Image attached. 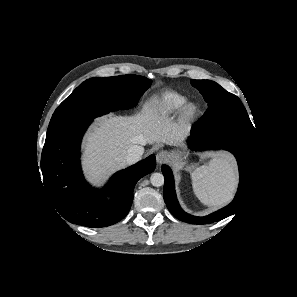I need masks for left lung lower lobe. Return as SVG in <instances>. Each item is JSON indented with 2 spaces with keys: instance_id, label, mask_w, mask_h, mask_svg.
<instances>
[{
  "instance_id": "0a47b994",
  "label": "left lung lower lobe",
  "mask_w": 297,
  "mask_h": 297,
  "mask_svg": "<svg viewBox=\"0 0 297 297\" xmlns=\"http://www.w3.org/2000/svg\"><path fill=\"white\" fill-rule=\"evenodd\" d=\"M188 146L192 150L225 149L237 159L240 182L234 200L226 207L205 217H196L187 214L180 207L174 188V179L171 169L162 165L165 177L163 196L167 208L179 220L191 224H209L234 215L247 200L257 171L258 151L257 142L253 136L231 130L218 129L201 132L195 125L188 138Z\"/></svg>"
}]
</instances>
